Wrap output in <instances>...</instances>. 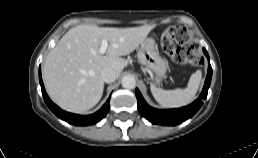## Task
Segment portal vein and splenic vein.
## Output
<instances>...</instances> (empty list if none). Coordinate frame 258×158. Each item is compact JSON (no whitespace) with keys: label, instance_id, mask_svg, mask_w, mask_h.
Here are the masks:
<instances>
[{"label":"portal vein and splenic vein","instance_id":"18ae733b","mask_svg":"<svg viewBox=\"0 0 258 158\" xmlns=\"http://www.w3.org/2000/svg\"><path fill=\"white\" fill-rule=\"evenodd\" d=\"M107 48H108V42L106 40H102L99 53L104 54L107 51Z\"/></svg>","mask_w":258,"mask_h":158}]
</instances>
